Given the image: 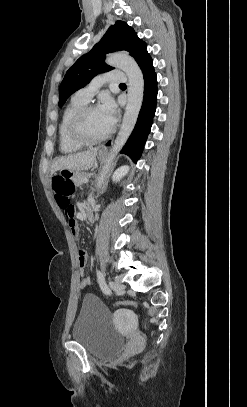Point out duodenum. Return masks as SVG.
<instances>
[{"label": "duodenum", "mask_w": 247, "mask_h": 407, "mask_svg": "<svg viewBox=\"0 0 247 407\" xmlns=\"http://www.w3.org/2000/svg\"><path fill=\"white\" fill-rule=\"evenodd\" d=\"M85 217L89 222H93L95 218L94 208L90 201L87 202L85 208Z\"/></svg>", "instance_id": "1"}]
</instances>
